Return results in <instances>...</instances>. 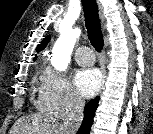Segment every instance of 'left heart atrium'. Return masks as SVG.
<instances>
[{
    "label": "left heart atrium",
    "instance_id": "1",
    "mask_svg": "<svg viewBox=\"0 0 153 134\" xmlns=\"http://www.w3.org/2000/svg\"><path fill=\"white\" fill-rule=\"evenodd\" d=\"M74 82L82 96L92 97L100 88L101 75L97 69H82L75 74Z\"/></svg>",
    "mask_w": 153,
    "mask_h": 134
}]
</instances>
